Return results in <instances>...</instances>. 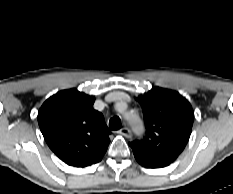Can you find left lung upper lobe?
<instances>
[{
    "instance_id": "obj_1",
    "label": "left lung upper lobe",
    "mask_w": 233,
    "mask_h": 194,
    "mask_svg": "<svg viewBox=\"0 0 233 194\" xmlns=\"http://www.w3.org/2000/svg\"><path fill=\"white\" fill-rule=\"evenodd\" d=\"M141 104L147 134L129 145L135 158L170 164L185 148L193 125L194 113L179 93L152 88L137 98Z\"/></svg>"
}]
</instances>
